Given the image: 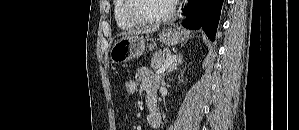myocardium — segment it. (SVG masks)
Listing matches in <instances>:
<instances>
[{"instance_id": "1", "label": "myocardium", "mask_w": 299, "mask_h": 130, "mask_svg": "<svg viewBox=\"0 0 299 130\" xmlns=\"http://www.w3.org/2000/svg\"><path fill=\"white\" fill-rule=\"evenodd\" d=\"M136 0H127L126 1V15L127 17L134 23L140 25H152V24H160L169 21L175 13L176 5L175 3H171L169 7V11L167 14L160 16V17H153V18H144L139 16L134 11V2Z\"/></svg>"}]
</instances>
